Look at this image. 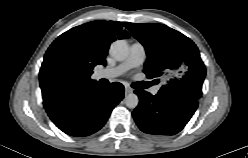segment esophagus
<instances>
[{"label":"esophagus","instance_id":"1","mask_svg":"<svg viewBox=\"0 0 248 158\" xmlns=\"http://www.w3.org/2000/svg\"><path fill=\"white\" fill-rule=\"evenodd\" d=\"M133 92V89L127 85H125V94H129V93H132Z\"/></svg>","mask_w":248,"mask_h":158}]
</instances>
